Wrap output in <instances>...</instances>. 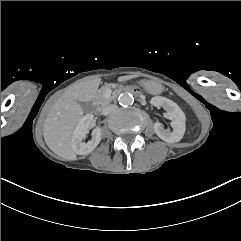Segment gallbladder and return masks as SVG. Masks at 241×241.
I'll list each match as a JSON object with an SVG mask.
<instances>
[{"instance_id": "gallbladder-1", "label": "gallbladder", "mask_w": 241, "mask_h": 241, "mask_svg": "<svg viewBox=\"0 0 241 241\" xmlns=\"http://www.w3.org/2000/svg\"><path fill=\"white\" fill-rule=\"evenodd\" d=\"M78 103L80 104L83 110H87L89 108V104L86 102L79 101Z\"/></svg>"}]
</instances>
